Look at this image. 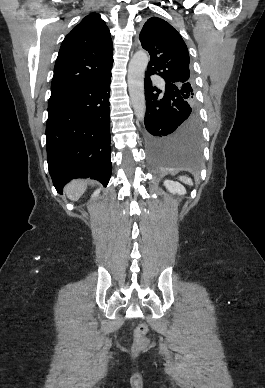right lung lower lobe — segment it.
<instances>
[{
	"label": "right lung lower lobe",
	"mask_w": 265,
	"mask_h": 388,
	"mask_svg": "<svg viewBox=\"0 0 265 388\" xmlns=\"http://www.w3.org/2000/svg\"><path fill=\"white\" fill-rule=\"evenodd\" d=\"M111 75L55 95L48 104L46 148L49 173L59 193L71 179L111 177Z\"/></svg>",
	"instance_id": "obj_1"
}]
</instances>
